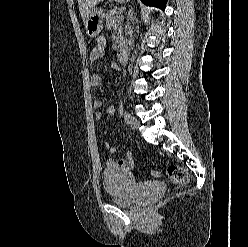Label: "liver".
<instances>
[{
	"label": "liver",
	"instance_id": "obj_1",
	"mask_svg": "<svg viewBox=\"0 0 248 247\" xmlns=\"http://www.w3.org/2000/svg\"><path fill=\"white\" fill-rule=\"evenodd\" d=\"M102 1L104 0H78L79 11L82 16L83 22H85L89 12L95 9V6Z\"/></svg>",
	"mask_w": 248,
	"mask_h": 247
}]
</instances>
